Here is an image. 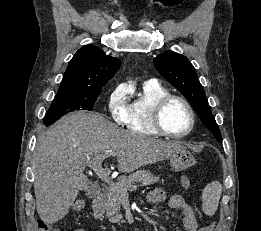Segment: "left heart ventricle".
I'll return each mask as SVG.
<instances>
[{"label": "left heart ventricle", "mask_w": 261, "mask_h": 231, "mask_svg": "<svg viewBox=\"0 0 261 231\" xmlns=\"http://www.w3.org/2000/svg\"><path fill=\"white\" fill-rule=\"evenodd\" d=\"M163 125L171 133H182L190 124L189 113L184 104L178 100H172L163 111Z\"/></svg>", "instance_id": "b2bd125f"}]
</instances>
